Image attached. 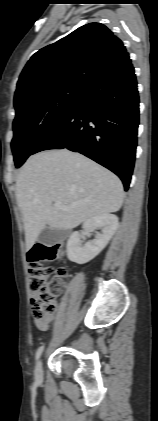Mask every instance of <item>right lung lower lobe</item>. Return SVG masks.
<instances>
[{"instance_id":"1","label":"right lung lower lobe","mask_w":158,"mask_h":421,"mask_svg":"<svg viewBox=\"0 0 158 421\" xmlns=\"http://www.w3.org/2000/svg\"><path fill=\"white\" fill-rule=\"evenodd\" d=\"M139 96L134 68L125 53L98 71L76 102L32 154L67 148L120 177L128 189L135 161Z\"/></svg>"}]
</instances>
